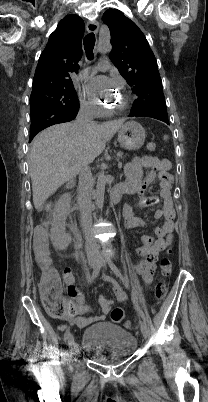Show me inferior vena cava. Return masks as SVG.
I'll list each match as a JSON object with an SVG mask.
<instances>
[{
    "label": "inferior vena cava",
    "instance_id": "602c4592",
    "mask_svg": "<svg viewBox=\"0 0 208 402\" xmlns=\"http://www.w3.org/2000/svg\"><path fill=\"white\" fill-rule=\"evenodd\" d=\"M93 104H81L78 116L74 126L78 128H87L92 126L93 122ZM79 188H78V206L84 228L86 246H97V242L92 234V190L94 186L93 176L89 164L83 156H79Z\"/></svg>",
    "mask_w": 208,
    "mask_h": 402
}]
</instances>
